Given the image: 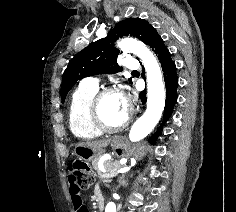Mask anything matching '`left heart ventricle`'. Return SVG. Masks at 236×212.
I'll return each mask as SVG.
<instances>
[{"label": "left heart ventricle", "instance_id": "obj_1", "mask_svg": "<svg viewBox=\"0 0 236 212\" xmlns=\"http://www.w3.org/2000/svg\"><path fill=\"white\" fill-rule=\"evenodd\" d=\"M101 113L105 122L115 126L120 124L127 116L121 105L120 94L107 95L101 102Z\"/></svg>", "mask_w": 236, "mask_h": 212}]
</instances>
